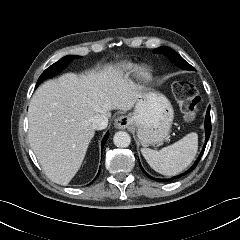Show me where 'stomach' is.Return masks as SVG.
Returning a JSON list of instances; mask_svg holds the SVG:
<instances>
[{"instance_id": "obj_1", "label": "stomach", "mask_w": 240, "mask_h": 240, "mask_svg": "<svg viewBox=\"0 0 240 240\" xmlns=\"http://www.w3.org/2000/svg\"><path fill=\"white\" fill-rule=\"evenodd\" d=\"M129 120L137 130V137L143 146L163 142L169 135L174 110L169 100L154 91L143 92L135 103Z\"/></svg>"}]
</instances>
